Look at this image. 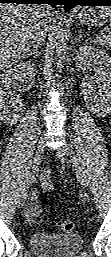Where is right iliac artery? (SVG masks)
Instances as JSON below:
<instances>
[{
  "label": "right iliac artery",
  "mask_w": 111,
  "mask_h": 257,
  "mask_svg": "<svg viewBox=\"0 0 111 257\" xmlns=\"http://www.w3.org/2000/svg\"><path fill=\"white\" fill-rule=\"evenodd\" d=\"M30 182L29 181H27L25 184H24V186H23V189H22V194H24V195H27V193H28V191H29V189H30Z\"/></svg>",
  "instance_id": "82829eb1"
}]
</instances>
